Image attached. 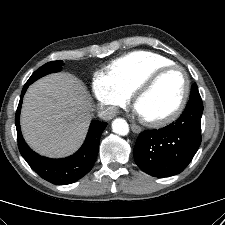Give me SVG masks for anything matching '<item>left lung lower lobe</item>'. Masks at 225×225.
<instances>
[{
	"label": "left lung lower lobe",
	"mask_w": 225,
	"mask_h": 225,
	"mask_svg": "<svg viewBox=\"0 0 225 225\" xmlns=\"http://www.w3.org/2000/svg\"><path fill=\"white\" fill-rule=\"evenodd\" d=\"M202 113L201 96L190 98L175 122L140 133L133 151L140 169L154 177L181 173L200 146Z\"/></svg>",
	"instance_id": "left-lung-lower-lobe-1"
}]
</instances>
